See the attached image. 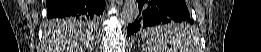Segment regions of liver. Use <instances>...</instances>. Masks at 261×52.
Wrapping results in <instances>:
<instances>
[{"label": "liver", "instance_id": "obj_1", "mask_svg": "<svg viewBox=\"0 0 261 52\" xmlns=\"http://www.w3.org/2000/svg\"><path fill=\"white\" fill-rule=\"evenodd\" d=\"M83 27L81 24H59L50 21L44 31V40L50 52H91L90 32Z\"/></svg>", "mask_w": 261, "mask_h": 52}]
</instances>
